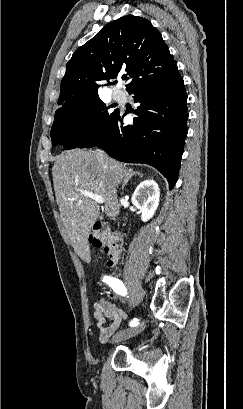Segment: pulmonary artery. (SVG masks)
Listing matches in <instances>:
<instances>
[{
    "label": "pulmonary artery",
    "instance_id": "1",
    "mask_svg": "<svg viewBox=\"0 0 243 409\" xmlns=\"http://www.w3.org/2000/svg\"><path fill=\"white\" fill-rule=\"evenodd\" d=\"M113 97L118 101H124L126 98V94L124 91L116 89L113 91Z\"/></svg>",
    "mask_w": 243,
    "mask_h": 409
}]
</instances>
